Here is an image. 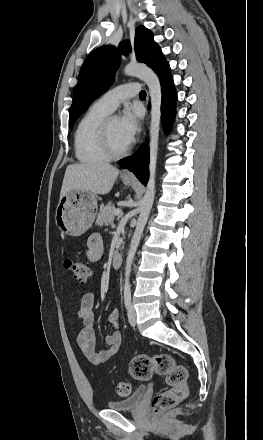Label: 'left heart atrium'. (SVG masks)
<instances>
[{
  "label": "left heart atrium",
  "instance_id": "obj_1",
  "mask_svg": "<svg viewBox=\"0 0 263 440\" xmlns=\"http://www.w3.org/2000/svg\"><path fill=\"white\" fill-rule=\"evenodd\" d=\"M139 119L140 113L128 108L118 120L120 132L128 145L132 143L139 131Z\"/></svg>",
  "mask_w": 263,
  "mask_h": 440
}]
</instances>
